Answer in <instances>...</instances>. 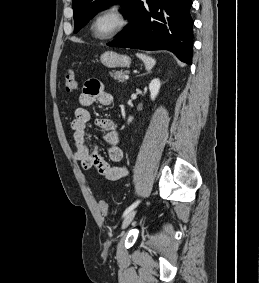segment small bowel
Masks as SVG:
<instances>
[{
  "label": "small bowel",
  "mask_w": 259,
  "mask_h": 283,
  "mask_svg": "<svg viewBox=\"0 0 259 283\" xmlns=\"http://www.w3.org/2000/svg\"><path fill=\"white\" fill-rule=\"evenodd\" d=\"M80 106L75 109L74 118L71 121V130L75 143L74 158L85 170L95 168L97 173L110 181H117L127 176L128 170L123 165L111 164L103 159L86 139L87 125L91 121V114L88 107L98 102L103 106L113 104V97L106 92L102 84L95 80H88L79 96ZM96 126L104 132L103 140L107 145L109 161L119 163L123 159V151L119 146V132L114 120L110 118H98Z\"/></svg>",
  "instance_id": "obj_1"
}]
</instances>
